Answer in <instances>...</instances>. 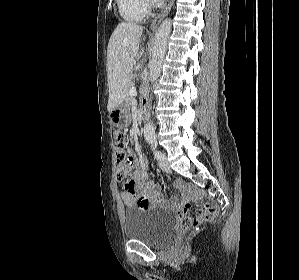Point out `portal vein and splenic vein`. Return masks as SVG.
<instances>
[{"mask_svg":"<svg viewBox=\"0 0 299 280\" xmlns=\"http://www.w3.org/2000/svg\"><path fill=\"white\" fill-rule=\"evenodd\" d=\"M129 94L132 95V96L136 95L137 94L136 88L135 87H131L129 89Z\"/></svg>","mask_w":299,"mask_h":280,"instance_id":"18ae733b","label":"portal vein and splenic vein"}]
</instances>
